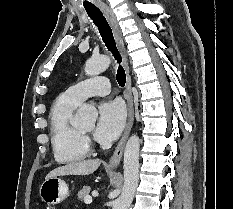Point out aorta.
<instances>
[{
	"label": "aorta",
	"mask_w": 233,
	"mask_h": 209,
	"mask_svg": "<svg viewBox=\"0 0 233 209\" xmlns=\"http://www.w3.org/2000/svg\"><path fill=\"white\" fill-rule=\"evenodd\" d=\"M110 62L107 56L91 58L86 61L85 73L88 76L98 75L109 67ZM96 118V109L90 105H83L76 112L73 124L82 128H93ZM139 149V137L133 134L125 146L124 184L121 195L114 202L113 209H128L133 201L139 180Z\"/></svg>",
	"instance_id": "aorta-1"
}]
</instances>
